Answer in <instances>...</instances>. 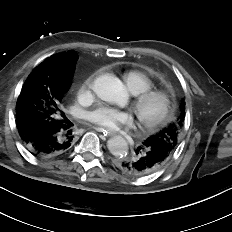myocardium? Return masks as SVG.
<instances>
[{
    "label": "myocardium",
    "mask_w": 232,
    "mask_h": 232,
    "mask_svg": "<svg viewBox=\"0 0 232 232\" xmlns=\"http://www.w3.org/2000/svg\"><path fill=\"white\" fill-rule=\"evenodd\" d=\"M153 99L161 102L160 110L156 115L146 118L142 115L143 107ZM173 97L170 92L164 89L151 88L135 96L131 103V109L136 115L137 121L143 130L150 131L165 123L172 107Z\"/></svg>",
    "instance_id": "1"
}]
</instances>
